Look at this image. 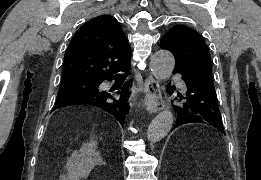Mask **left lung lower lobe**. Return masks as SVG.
<instances>
[{
  "mask_svg": "<svg viewBox=\"0 0 261 180\" xmlns=\"http://www.w3.org/2000/svg\"><path fill=\"white\" fill-rule=\"evenodd\" d=\"M175 73L182 75L185 92L183 94L178 93L177 95L180 98V104L174 107L177 113L174 128L187 123L200 122L212 125L221 132H224L215 89L208 88L198 78L180 69H175L173 74Z\"/></svg>",
  "mask_w": 261,
  "mask_h": 180,
  "instance_id": "0a47b994",
  "label": "left lung lower lobe"
}]
</instances>
